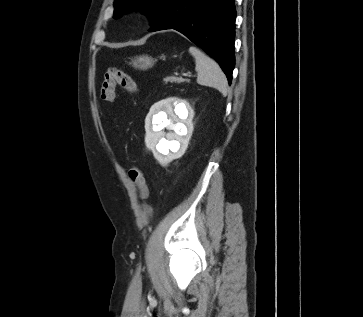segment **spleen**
Returning <instances> with one entry per match:
<instances>
[{
  "label": "spleen",
  "mask_w": 363,
  "mask_h": 317,
  "mask_svg": "<svg viewBox=\"0 0 363 317\" xmlns=\"http://www.w3.org/2000/svg\"><path fill=\"white\" fill-rule=\"evenodd\" d=\"M189 52L195 58L197 83L200 85L214 87L224 96L227 95V78L218 63L196 47L191 46L189 48Z\"/></svg>",
  "instance_id": "obj_1"
}]
</instances>
